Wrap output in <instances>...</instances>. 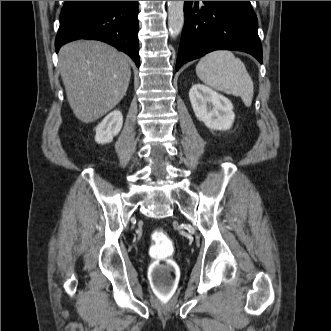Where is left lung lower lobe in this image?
I'll use <instances>...</instances> for the list:
<instances>
[{
  "mask_svg": "<svg viewBox=\"0 0 331 331\" xmlns=\"http://www.w3.org/2000/svg\"><path fill=\"white\" fill-rule=\"evenodd\" d=\"M176 71L214 50L243 51L262 63L257 17L250 1H185Z\"/></svg>",
  "mask_w": 331,
  "mask_h": 331,
  "instance_id": "obj_1",
  "label": "left lung lower lobe"
}]
</instances>
